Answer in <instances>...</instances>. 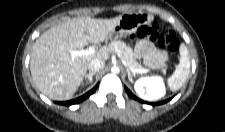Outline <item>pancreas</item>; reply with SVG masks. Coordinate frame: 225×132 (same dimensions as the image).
Returning a JSON list of instances; mask_svg holds the SVG:
<instances>
[{
  "label": "pancreas",
  "instance_id": "1",
  "mask_svg": "<svg viewBox=\"0 0 225 132\" xmlns=\"http://www.w3.org/2000/svg\"><path fill=\"white\" fill-rule=\"evenodd\" d=\"M108 49L118 55V57L134 70H143V66L135 59L131 47L124 42L115 40L108 45Z\"/></svg>",
  "mask_w": 225,
  "mask_h": 132
}]
</instances>
